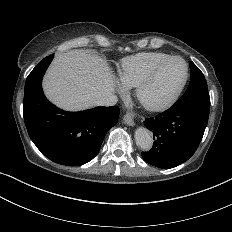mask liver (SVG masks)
<instances>
[{
    "instance_id": "liver-1",
    "label": "liver",
    "mask_w": 232,
    "mask_h": 232,
    "mask_svg": "<svg viewBox=\"0 0 232 232\" xmlns=\"http://www.w3.org/2000/svg\"><path fill=\"white\" fill-rule=\"evenodd\" d=\"M115 87V76L107 61L82 49L57 55L43 79L47 98L68 111L95 106Z\"/></svg>"
}]
</instances>
